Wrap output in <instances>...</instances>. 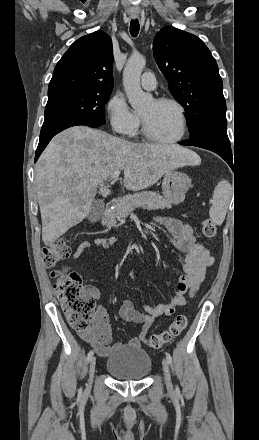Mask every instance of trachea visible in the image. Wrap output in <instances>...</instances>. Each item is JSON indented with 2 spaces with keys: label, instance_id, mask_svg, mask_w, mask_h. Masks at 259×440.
I'll return each instance as SVG.
<instances>
[{
  "label": "trachea",
  "instance_id": "trachea-1",
  "mask_svg": "<svg viewBox=\"0 0 259 440\" xmlns=\"http://www.w3.org/2000/svg\"><path fill=\"white\" fill-rule=\"evenodd\" d=\"M139 29H140V26H139L138 19H134V20L132 19L131 23H130V34H131V36L132 37H136L138 35V33H139Z\"/></svg>",
  "mask_w": 259,
  "mask_h": 440
}]
</instances>
